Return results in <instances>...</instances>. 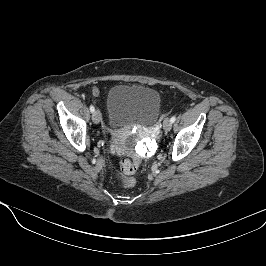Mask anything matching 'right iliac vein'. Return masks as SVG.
<instances>
[{"mask_svg": "<svg viewBox=\"0 0 266 266\" xmlns=\"http://www.w3.org/2000/svg\"><path fill=\"white\" fill-rule=\"evenodd\" d=\"M92 121L95 124H98L101 121V113H100L99 110H96V111L93 112V114H92Z\"/></svg>", "mask_w": 266, "mask_h": 266, "instance_id": "right-iliac-vein-1", "label": "right iliac vein"}]
</instances>
